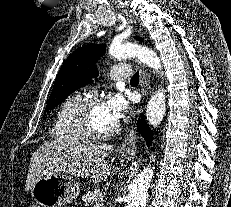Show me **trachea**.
<instances>
[{
    "label": "trachea",
    "mask_w": 231,
    "mask_h": 207,
    "mask_svg": "<svg viewBox=\"0 0 231 207\" xmlns=\"http://www.w3.org/2000/svg\"><path fill=\"white\" fill-rule=\"evenodd\" d=\"M131 83H139V72H136L130 80Z\"/></svg>",
    "instance_id": "obj_1"
}]
</instances>
